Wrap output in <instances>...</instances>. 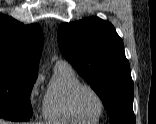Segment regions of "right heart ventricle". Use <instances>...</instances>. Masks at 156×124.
Wrapping results in <instances>:
<instances>
[{
    "label": "right heart ventricle",
    "instance_id": "obj_1",
    "mask_svg": "<svg viewBox=\"0 0 156 124\" xmlns=\"http://www.w3.org/2000/svg\"><path fill=\"white\" fill-rule=\"evenodd\" d=\"M82 82L74 69L64 61H58L50 80L43 105L45 120L55 124H93L96 120L84 121L73 112L70 104L72 91ZM91 120V121H90Z\"/></svg>",
    "mask_w": 156,
    "mask_h": 124
}]
</instances>
